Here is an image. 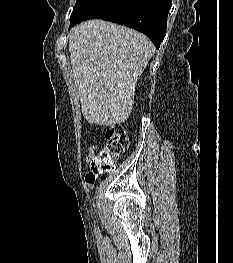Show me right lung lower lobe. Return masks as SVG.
<instances>
[{
	"mask_svg": "<svg viewBox=\"0 0 233 263\" xmlns=\"http://www.w3.org/2000/svg\"><path fill=\"white\" fill-rule=\"evenodd\" d=\"M171 3L172 0H124L111 15L102 19L146 34L159 49L166 35Z\"/></svg>",
	"mask_w": 233,
	"mask_h": 263,
	"instance_id": "obj_1",
	"label": "right lung lower lobe"
}]
</instances>
